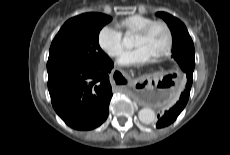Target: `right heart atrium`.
Masks as SVG:
<instances>
[{
    "instance_id": "d8ad5b80",
    "label": "right heart atrium",
    "mask_w": 230,
    "mask_h": 155,
    "mask_svg": "<svg viewBox=\"0 0 230 155\" xmlns=\"http://www.w3.org/2000/svg\"><path fill=\"white\" fill-rule=\"evenodd\" d=\"M100 49L109 57H118L124 50L122 33L113 26H103L97 35Z\"/></svg>"
}]
</instances>
